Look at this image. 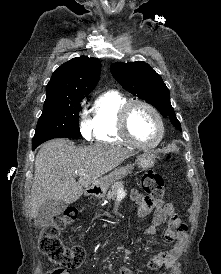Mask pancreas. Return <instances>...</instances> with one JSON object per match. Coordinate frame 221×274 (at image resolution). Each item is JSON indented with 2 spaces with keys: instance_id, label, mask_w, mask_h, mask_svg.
<instances>
[{
  "instance_id": "pancreas-1",
  "label": "pancreas",
  "mask_w": 221,
  "mask_h": 274,
  "mask_svg": "<svg viewBox=\"0 0 221 274\" xmlns=\"http://www.w3.org/2000/svg\"><path fill=\"white\" fill-rule=\"evenodd\" d=\"M124 191V183L122 181L116 182L112 185L107 194H101L100 197L115 200L120 192Z\"/></svg>"
}]
</instances>
